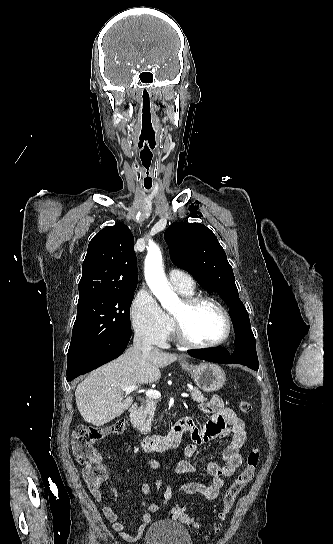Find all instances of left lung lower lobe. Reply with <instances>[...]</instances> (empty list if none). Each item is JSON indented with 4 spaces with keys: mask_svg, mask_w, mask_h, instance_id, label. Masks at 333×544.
<instances>
[{
    "mask_svg": "<svg viewBox=\"0 0 333 544\" xmlns=\"http://www.w3.org/2000/svg\"><path fill=\"white\" fill-rule=\"evenodd\" d=\"M188 354L192 357L203 359L211 362L229 364L236 363L246 365L247 367L257 371L259 367V362L257 358L256 351L254 346L252 349L248 350L246 348L240 349V354L234 352L232 356L227 354V351L223 348L214 349V350H189Z\"/></svg>",
    "mask_w": 333,
    "mask_h": 544,
    "instance_id": "obj_1",
    "label": "left lung lower lobe"
}]
</instances>
